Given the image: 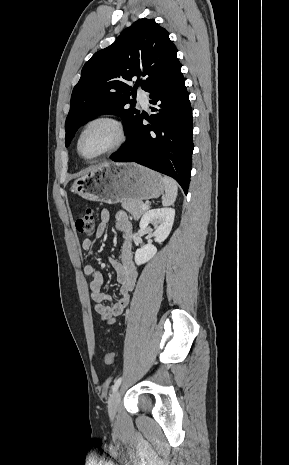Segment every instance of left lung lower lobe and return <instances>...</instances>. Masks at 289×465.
Here are the masks:
<instances>
[{
    "label": "left lung lower lobe",
    "mask_w": 289,
    "mask_h": 465,
    "mask_svg": "<svg viewBox=\"0 0 289 465\" xmlns=\"http://www.w3.org/2000/svg\"><path fill=\"white\" fill-rule=\"evenodd\" d=\"M151 106L150 124L143 114L132 124L125 145L110 156L115 162H136L174 178L187 194L191 159L192 109L181 65L145 90Z\"/></svg>",
    "instance_id": "0a47b994"
}]
</instances>
